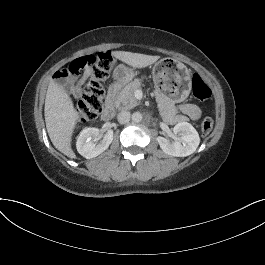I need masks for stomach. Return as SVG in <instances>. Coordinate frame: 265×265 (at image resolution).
I'll use <instances>...</instances> for the list:
<instances>
[{"label":"stomach","instance_id":"0dacf381","mask_svg":"<svg viewBox=\"0 0 265 265\" xmlns=\"http://www.w3.org/2000/svg\"><path fill=\"white\" fill-rule=\"evenodd\" d=\"M113 75L118 82L126 83L133 78V71L120 64ZM152 75L156 91L173 103L184 101L190 94L191 73L183 63L173 58L161 59L155 63Z\"/></svg>","mask_w":265,"mask_h":265}]
</instances>
